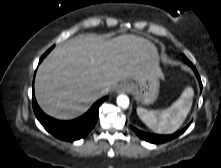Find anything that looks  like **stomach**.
Listing matches in <instances>:
<instances>
[{"instance_id":"obj_1","label":"stomach","mask_w":221,"mask_h":168,"mask_svg":"<svg viewBox=\"0 0 221 168\" xmlns=\"http://www.w3.org/2000/svg\"><path fill=\"white\" fill-rule=\"evenodd\" d=\"M162 72H156L143 81L131 84L132 93L143 104L154 102L158 96Z\"/></svg>"}]
</instances>
